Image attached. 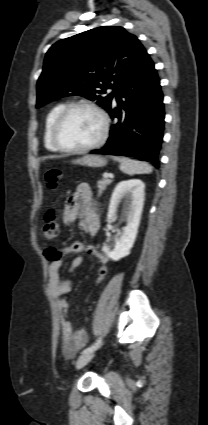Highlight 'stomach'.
<instances>
[{"label":"stomach","instance_id":"obj_1","mask_svg":"<svg viewBox=\"0 0 208 425\" xmlns=\"http://www.w3.org/2000/svg\"><path fill=\"white\" fill-rule=\"evenodd\" d=\"M74 164H79L87 167L97 168L106 165L107 160L104 157L97 155H85L77 160L72 161Z\"/></svg>","mask_w":208,"mask_h":425}]
</instances>
